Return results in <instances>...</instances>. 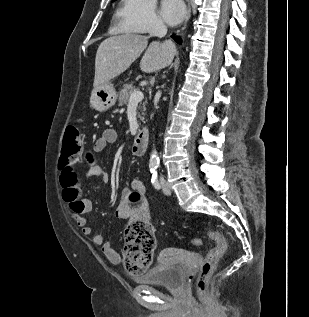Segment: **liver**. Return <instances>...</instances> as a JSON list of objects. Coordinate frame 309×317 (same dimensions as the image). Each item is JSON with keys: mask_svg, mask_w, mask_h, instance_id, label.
I'll use <instances>...</instances> for the list:
<instances>
[{"mask_svg": "<svg viewBox=\"0 0 309 317\" xmlns=\"http://www.w3.org/2000/svg\"><path fill=\"white\" fill-rule=\"evenodd\" d=\"M147 45L148 37L138 34H122L105 39L96 53L94 89L122 74L144 50L140 69L145 73H153L172 63L176 53L172 41H154Z\"/></svg>", "mask_w": 309, "mask_h": 317, "instance_id": "liver-1", "label": "liver"}]
</instances>
